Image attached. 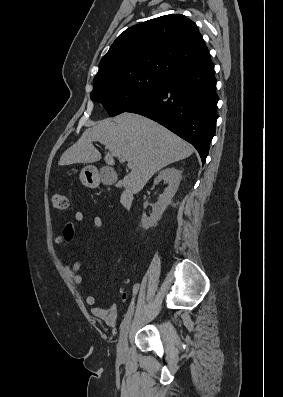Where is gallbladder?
<instances>
[{
    "label": "gallbladder",
    "mask_w": 283,
    "mask_h": 397,
    "mask_svg": "<svg viewBox=\"0 0 283 397\" xmlns=\"http://www.w3.org/2000/svg\"><path fill=\"white\" fill-rule=\"evenodd\" d=\"M117 175L113 169L104 167L102 169V181L107 185H112L116 182Z\"/></svg>",
    "instance_id": "obj_1"
}]
</instances>
